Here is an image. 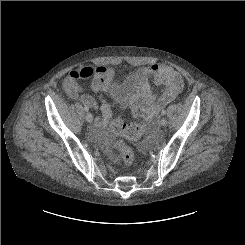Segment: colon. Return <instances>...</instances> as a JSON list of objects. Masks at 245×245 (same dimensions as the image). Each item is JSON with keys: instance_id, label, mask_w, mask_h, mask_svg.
<instances>
[{"instance_id": "obj_1", "label": "colon", "mask_w": 245, "mask_h": 245, "mask_svg": "<svg viewBox=\"0 0 245 245\" xmlns=\"http://www.w3.org/2000/svg\"><path fill=\"white\" fill-rule=\"evenodd\" d=\"M114 127L131 138H137L141 134L142 126L140 124H133L130 126L122 124L120 121L116 120L113 123ZM117 147L120 153V158L125 165H130L133 162L134 155L132 149L126 144L124 140H119L117 142Z\"/></svg>"}]
</instances>
